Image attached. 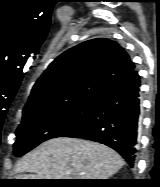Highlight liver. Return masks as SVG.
I'll list each match as a JSON object with an SVG mask.
<instances>
[{
    "mask_svg": "<svg viewBox=\"0 0 160 187\" xmlns=\"http://www.w3.org/2000/svg\"><path fill=\"white\" fill-rule=\"evenodd\" d=\"M123 165L122 157L104 144L59 137L23 156L16 172L32 173L18 179H108Z\"/></svg>",
    "mask_w": 160,
    "mask_h": 187,
    "instance_id": "6515ba94",
    "label": "liver"
}]
</instances>
